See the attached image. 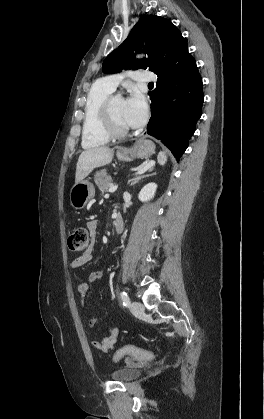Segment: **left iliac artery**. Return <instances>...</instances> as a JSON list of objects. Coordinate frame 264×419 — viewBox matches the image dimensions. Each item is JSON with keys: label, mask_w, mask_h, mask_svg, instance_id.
I'll list each match as a JSON object with an SVG mask.
<instances>
[{"label": "left iliac artery", "mask_w": 264, "mask_h": 419, "mask_svg": "<svg viewBox=\"0 0 264 419\" xmlns=\"http://www.w3.org/2000/svg\"><path fill=\"white\" fill-rule=\"evenodd\" d=\"M120 296H121V299H122V301H123V305H124V306H129V305H130V299H129V297H128L127 293H126V292H124V291H122V292L120 293Z\"/></svg>", "instance_id": "44dca946"}]
</instances>
